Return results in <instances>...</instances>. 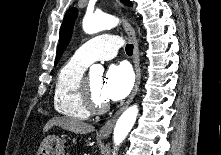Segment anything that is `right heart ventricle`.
<instances>
[{"label": "right heart ventricle", "instance_id": "right-heart-ventricle-1", "mask_svg": "<svg viewBox=\"0 0 221 155\" xmlns=\"http://www.w3.org/2000/svg\"><path fill=\"white\" fill-rule=\"evenodd\" d=\"M88 64L74 57L59 70L54 87L53 103L57 112L67 117L86 119L90 113L84 107L79 87Z\"/></svg>", "mask_w": 221, "mask_h": 155}]
</instances>
